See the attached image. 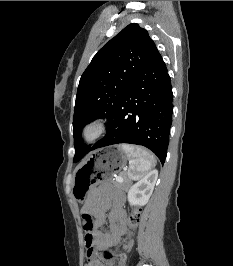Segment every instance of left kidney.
<instances>
[{"label":"left kidney","instance_id":"1","mask_svg":"<svg viewBox=\"0 0 233 266\" xmlns=\"http://www.w3.org/2000/svg\"><path fill=\"white\" fill-rule=\"evenodd\" d=\"M158 178V171H150L145 177L135 184L131 185L128 190V201L130 205H145L152 195L155 183Z\"/></svg>","mask_w":233,"mask_h":266}]
</instances>
